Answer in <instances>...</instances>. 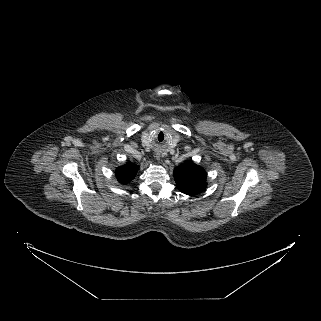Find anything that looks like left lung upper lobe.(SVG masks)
Listing matches in <instances>:
<instances>
[{
  "label": "left lung upper lobe",
  "mask_w": 321,
  "mask_h": 321,
  "mask_svg": "<svg viewBox=\"0 0 321 321\" xmlns=\"http://www.w3.org/2000/svg\"><path fill=\"white\" fill-rule=\"evenodd\" d=\"M178 189L187 195H196L206 188V172L192 161L186 162L174 170Z\"/></svg>",
  "instance_id": "obj_1"
}]
</instances>
